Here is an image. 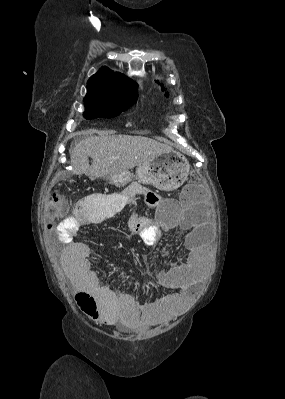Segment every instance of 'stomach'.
I'll list each match as a JSON object with an SVG mask.
<instances>
[{
  "label": "stomach",
  "mask_w": 285,
  "mask_h": 399,
  "mask_svg": "<svg viewBox=\"0 0 285 399\" xmlns=\"http://www.w3.org/2000/svg\"><path fill=\"white\" fill-rule=\"evenodd\" d=\"M189 163L184 155L175 150L158 153L151 161L136 169V178L142 184H151L165 191L180 187L189 173ZM110 184L121 187L128 184L132 177L126 173L119 177H106Z\"/></svg>",
  "instance_id": "1"
}]
</instances>
